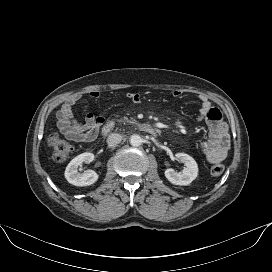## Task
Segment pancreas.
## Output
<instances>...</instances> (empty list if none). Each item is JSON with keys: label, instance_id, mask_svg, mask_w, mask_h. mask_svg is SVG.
Instances as JSON below:
<instances>
[{"label": "pancreas", "instance_id": "cf45deb5", "mask_svg": "<svg viewBox=\"0 0 272 272\" xmlns=\"http://www.w3.org/2000/svg\"><path fill=\"white\" fill-rule=\"evenodd\" d=\"M121 123H127V122H134L135 120L133 118L128 119L127 117H123L121 119L118 120Z\"/></svg>", "mask_w": 272, "mask_h": 272}]
</instances>
